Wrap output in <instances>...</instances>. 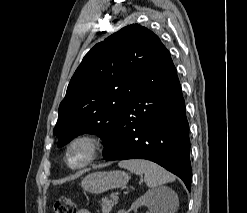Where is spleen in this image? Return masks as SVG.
Returning <instances> with one entry per match:
<instances>
[{"mask_svg": "<svg viewBox=\"0 0 247 213\" xmlns=\"http://www.w3.org/2000/svg\"><path fill=\"white\" fill-rule=\"evenodd\" d=\"M119 167L125 168L134 174L144 175V180L148 187L156 188L165 183L175 180L174 175L166 171L164 168L148 160H125L119 162ZM164 192L171 194V204L167 207V213H174L177 207V197L172 194L169 189H163Z\"/></svg>", "mask_w": 247, "mask_h": 213, "instance_id": "1", "label": "spleen"}]
</instances>
